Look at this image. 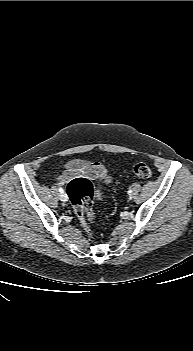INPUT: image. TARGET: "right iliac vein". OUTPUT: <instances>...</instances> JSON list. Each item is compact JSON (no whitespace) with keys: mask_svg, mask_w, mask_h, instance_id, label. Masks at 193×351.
<instances>
[{"mask_svg":"<svg viewBox=\"0 0 193 351\" xmlns=\"http://www.w3.org/2000/svg\"><path fill=\"white\" fill-rule=\"evenodd\" d=\"M60 200L63 201V202H66L68 200V196L66 193H62L60 195Z\"/></svg>","mask_w":193,"mask_h":351,"instance_id":"63e3f726","label":"right iliac vein"}]
</instances>
